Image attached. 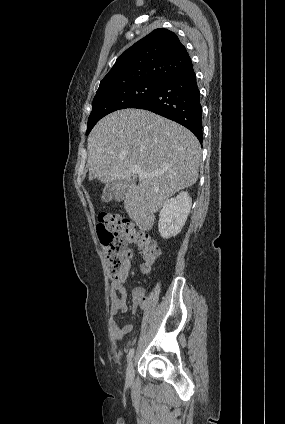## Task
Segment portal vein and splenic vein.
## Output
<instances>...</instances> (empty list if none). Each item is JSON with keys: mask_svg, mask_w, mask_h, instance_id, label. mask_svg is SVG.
<instances>
[{"mask_svg": "<svg viewBox=\"0 0 285 424\" xmlns=\"http://www.w3.org/2000/svg\"><path fill=\"white\" fill-rule=\"evenodd\" d=\"M131 171H132L133 174H138L139 176H143V177H151V176H153L152 174H148V173L142 171L140 169V167H138L136 165L131 168Z\"/></svg>", "mask_w": 285, "mask_h": 424, "instance_id": "obj_1", "label": "portal vein and splenic vein"}]
</instances>
